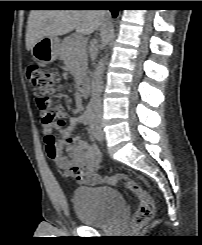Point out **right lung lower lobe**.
I'll list each match as a JSON object with an SVG mask.
<instances>
[{
	"instance_id": "obj_1",
	"label": "right lung lower lobe",
	"mask_w": 202,
	"mask_h": 245,
	"mask_svg": "<svg viewBox=\"0 0 202 245\" xmlns=\"http://www.w3.org/2000/svg\"><path fill=\"white\" fill-rule=\"evenodd\" d=\"M104 6L110 7V11L113 15V17H116L118 14V9L116 8V5L114 3H105Z\"/></svg>"
}]
</instances>
